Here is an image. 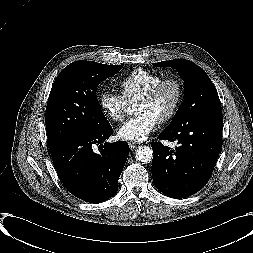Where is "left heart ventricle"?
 Masks as SVG:
<instances>
[{
    "instance_id": "1",
    "label": "left heart ventricle",
    "mask_w": 253,
    "mask_h": 253,
    "mask_svg": "<svg viewBox=\"0 0 253 253\" xmlns=\"http://www.w3.org/2000/svg\"><path fill=\"white\" fill-rule=\"evenodd\" d=\"M177 97V90L173 84L165 85L157 96L150 102H138L135 113L138 115L148 114L160 120L173 107Z\"/></svg>"
}]
</instances>
